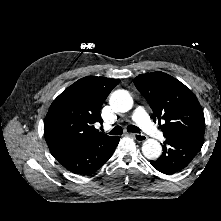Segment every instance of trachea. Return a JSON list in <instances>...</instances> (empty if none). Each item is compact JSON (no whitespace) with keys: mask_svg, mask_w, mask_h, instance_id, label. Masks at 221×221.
<instances>
[{"mask_svg":"<svg viewBox=\"0 0 221 221\" xmlns=\"http://www.w3.org/2000/svg\"><path fill=\"white\" fill-rule=\"evenodd\" d=\"M127 131L132 132V133H140V130L134 125H129L127 127ZM122 133H123L122 127L121 126H116L108 134H110V135H121Z\"/></svg>","mask_w":221,"mask_h":221,"instance_id":"3493384b","label":"trachea"}]
</instances>
